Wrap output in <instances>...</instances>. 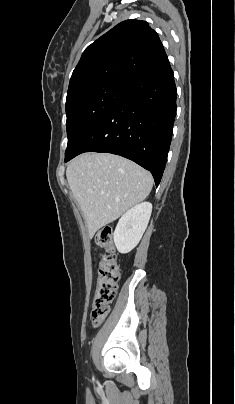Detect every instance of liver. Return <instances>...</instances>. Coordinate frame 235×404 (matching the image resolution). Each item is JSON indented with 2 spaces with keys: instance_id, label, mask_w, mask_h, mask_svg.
Returning a JSON list of instances; mask_svg holds the SVG:
<instances>
[{
  "instance_id": "obj_1",
  "label": "liver",
  "mask_w": 235,
  "mask_h": 404,
  "mask_svg": "<svg viewBox=\"0 0 235 404\" xmlns=\"http://www.w3.org/2000/svg\"><path fill=\"white\" fill-rule=\"evenodd\" d=\"M70 189L86 221L89 237L151 192L153 177L136 163L108 153H85L66 170Z\"/></svg>"
}]
</instances>
